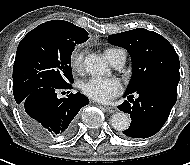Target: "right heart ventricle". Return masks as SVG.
Wrapping results in <instances>:
<instances>
[{"label": "right heart ventricle", "instance_id": "1", "mask_svg": "<svg viewBox=\"0 0 190 165\" xmlns=\"http://www.w3.org/2000/svg\"><path fill=\"white\" fill-rule=\"evenodd\" d=\"M121 50V49H118V48H107L105 51H104V54L106 56V58L108 59V61L110 63H112L115 59V56H116V53Z\"/></svg>", "mask_w": 190, "mask_h": 165}]
</instances>
